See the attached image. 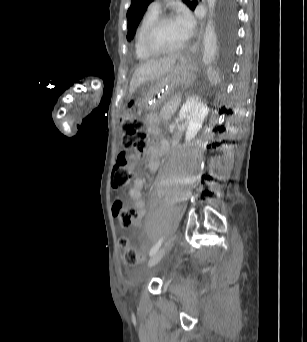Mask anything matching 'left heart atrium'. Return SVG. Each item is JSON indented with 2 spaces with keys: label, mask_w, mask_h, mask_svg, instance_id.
<instances>
[{
  "label": "left heart atrium",
  "mask_w": 307,
  "mask_h": 342,
  "mask_svg": "<svg viewBox=\"0 0 307 342\" xmlns=\"http://www.w3.org/2000/svg\"><path fill=\"white\" fill-rule=\"evenodd\" d=\"M179 28L185 40H189L194 34V21L191 17L185 15L178 21Z\"/></svg>",
  "instance_id": "obj_1"
}]
</instances>
